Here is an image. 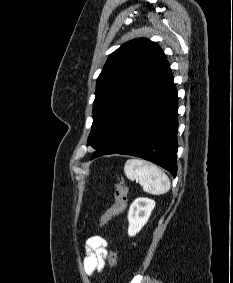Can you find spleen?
<instances>
[{"mask_svg":"<svg viewBox=\"0 0 233 283\" xmlns=\"http://www.w3.org/2000/svg\"><path fill=\"white\" fill-rule=\"evenodd\" d=\"M128 179L140 183L143 190L153 195L165 194L171 183L168 176L156 165L140 159H129L124 166Z\"/></svg>","mask_w":233,"mask_h":283,"instance_id":"1","label":"spleen"}]
</instances>
